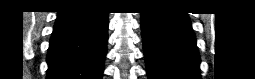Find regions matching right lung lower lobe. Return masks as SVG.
Instances as JSON below:
<instances>
[{"mask_svg":"<svg viewBox=\"0 0 255 79\" xmlns=\"http://www.w3.org/2000/svg\"><path fill=\"white\" fill-rule=\"evenodd\" d=\"M107 29V12L87 7L58 12L47 57V79H101Z\"/></svg>","mask_w":255,"mask_h":79,"instance_id":"obj_1","label":"right lung lower lobe"}]
</instances>
